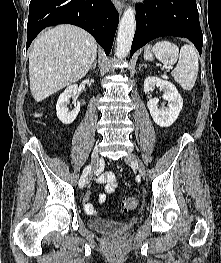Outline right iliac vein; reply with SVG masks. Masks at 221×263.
<instances>
[{"label": "right iliac vein", "instance_id": "right-iliac-vein-1", "mask_svg": "<svg viewBox=\"0 0 221 263\" xmlns=\"http://www.w3.org/2000/svg\"><path fill=\"white\" fill-rule=\"evenodd\" d=\"M99 153H98V148L96 147L91 155V170L89 172V175L86 179V184H89L91 178H92V173L95 172V170L97 169L98 165H99Z\"/></svg>", "mask_w": 221, "mask_h": 263}]
</instances>
